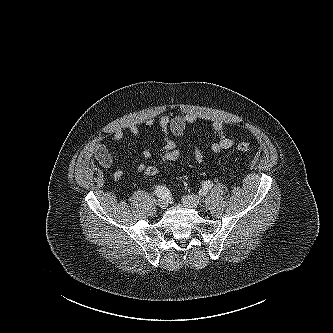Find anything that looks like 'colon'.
<instances>
[{
  "label": "colon",
  "mask_w": 333,
  "mask_h": 333,
  "mask_svg": "<svg viewBox=\"0 0 333 333\" xmlns=\"http://www.w3.org/2000/svg\"><path fill=\"white\" fill-rule=\"evenodd\" d=\"M236 149L240 152H248L250 150V144L241 142L236 146ZM179 156L180 153L177 149L163 153L156 163L146 165L143 173L149 177H156L162 172L163 168L175 162Z\"/></svg>",
  "instance_id": "5ec220e1"
}]
</instances>
